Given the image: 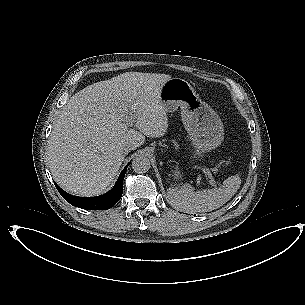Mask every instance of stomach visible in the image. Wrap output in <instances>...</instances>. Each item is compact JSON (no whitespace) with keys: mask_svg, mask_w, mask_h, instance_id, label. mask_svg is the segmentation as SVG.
<instances>
[{"mask_svg":"<svg viewBox=\"0 0 305 305\" xmlns=\"http://www.w3.org/2000/svg\"><path fill=\"white\" fill-rule=\"evenodd\" d=\"M159 100L166 111H181L183 125L191 139L194 153L210 151L223 140V127L214 110L203 102L189 82L182 78L168 79L160 88ZM173 176L182 177L176 166Z\"/></svg>","mask_w":305,"mask_h":305,"instance_id":"0dacf381","label":"stomach"}]
</instances>
